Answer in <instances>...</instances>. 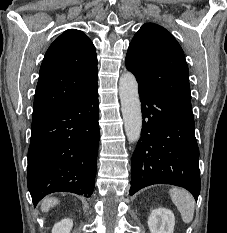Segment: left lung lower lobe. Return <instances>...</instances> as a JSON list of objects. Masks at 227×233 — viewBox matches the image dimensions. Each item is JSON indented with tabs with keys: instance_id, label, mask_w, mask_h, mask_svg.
I'll use <instances>...</instances> for the list:
<instances>
[{
	"instance_id": "left-lung-lower-lobe-1",
	"label": "left lung lower lobe",
	"mask_w": 227,
	"mask_h": 233,
	"mask_svg": "<svg viewBox=\"0 0 227 233\" xmlns=\"http://www.w3.org/2000/svg\"><path fill=\"white\" fill-rule=\"evenodd\" d=\"M141 138L132 156L130 195L149 185L183 187L200 193L199 149L192 107L139 86Z\"/></svg>"
}]
</instances>
